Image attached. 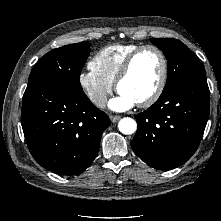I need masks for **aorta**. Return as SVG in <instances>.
Segmentation results:
<instances>
[{"label": "aorta", "mask_w": 221, "mask_h": 221, "mask_svg": "<svg viewBox=\"0 0 221 221\" xmlns=\"http://www.w3.org/2000/svg\"><path fill=\"white\" fill-rule=\"evenodd\" d=\"M118 128L125 135L133 134L137 130V123L130 117H124L119 121Z\"/></svg>", "instance_id": "1"}]
</instances>
